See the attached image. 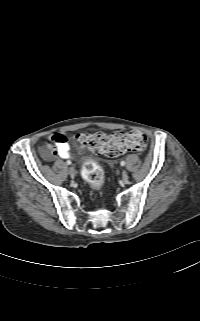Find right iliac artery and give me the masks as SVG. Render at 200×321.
I'll return each mask as SVG.
<instances>
[{
  "label": "right iliac artery",
  "mask_w": 200,
  "mask_h": 321,
  "mask_svg": "<svg viewBox=\"0 0 200 321\" xmlns=\"http://www.w3.org/2000/svg\"><path fill=\"white\" fill-rule=\"evenodd\" d=\"M66 163H67L68 165H70V164H71V161L68 160Z\"/></svg>",
  "instance_id": "1"
}]
</instances>
